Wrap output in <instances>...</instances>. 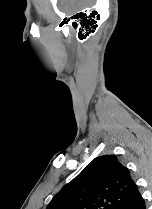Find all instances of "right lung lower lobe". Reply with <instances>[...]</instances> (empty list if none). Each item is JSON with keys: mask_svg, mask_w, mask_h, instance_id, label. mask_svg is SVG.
Masks as SVG:
<instances>
[{"mask_svg": "<svg viewBox=\"0 0 152 209\" xmlns=\"http://www.w3.org/2000/svg\"><path fill=\"white\" fill-rule=\"evenodd\" d=\"M121 209H146L145 201L139 191H137Z\"/></svg>", "mask_w": 152, "mask_h": 209, "instance_id": "98d812e1", "label": "right lung lower lobe"}]
</instances>
